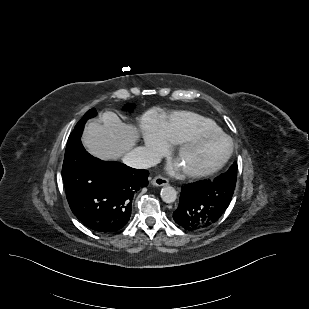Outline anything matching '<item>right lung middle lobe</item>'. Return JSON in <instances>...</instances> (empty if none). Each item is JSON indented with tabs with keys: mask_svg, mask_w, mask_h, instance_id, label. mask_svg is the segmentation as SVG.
<instances>
[{
	"mask_svg": "<svg viewBox=\"0 0 309 309\" xmlns=\"http://www.w3.org/2000/svg\"><path fill=\"white\" fill-rule=\"evenodd\" d=\"M133 107H134V105L128 104V105H126V106L124 107V110L131 111ZM96 114H97V112H96L95 109H91V110L87 111V112L85 113V115L82 117V119L77 123L76 126H79V125H81V124L86 123L87 119L96 116ZM76 126H75V127H76Z\"/></svg>",
	"mask_w": 309,
	"mask_h": 309,
	"instance_id": "right-lung-middle-lobe-1",
	"label": "right lung middle lobe"
}]
</instances>
